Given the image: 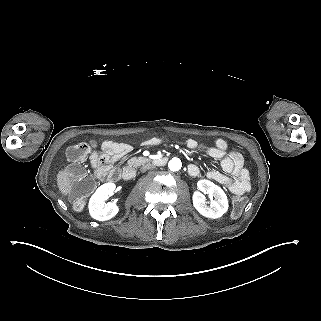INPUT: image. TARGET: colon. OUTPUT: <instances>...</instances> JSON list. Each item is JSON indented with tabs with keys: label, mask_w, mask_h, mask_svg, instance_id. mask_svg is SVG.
I'll use <instances>...</instances> for the list:
<instances>
[{
	"label": "colon",
	"mask_w": 321,
	"mask_h": 321,
	"mask_svg": "<svg viewBox=\"0 0 321 321\" xmlns=\"http://www.w3.org/2000/svg\"><path fill=\"white\" fill-rule=\"evenodd\" d=\"M93 143H78L71 146L67 151V159L70 163L68 172L73 178L70 195L76 207H82L86 197L92 192L95 183L93 178L84 170L82 162L91 153ZM246 197L237 195L232 202V216L238 217L246 205Z\"/></svg>",
	"instance_id": "5ec220e1"
}]
</instances>
